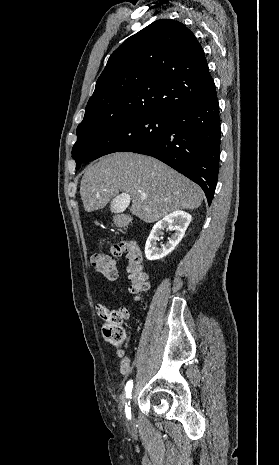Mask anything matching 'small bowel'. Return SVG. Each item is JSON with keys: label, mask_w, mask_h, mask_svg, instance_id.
Instances as JSON below:
<instances>
[{"label": "small bowel", "mask_w": 279, "mask_h": 465, "mask_svg": "<svg viewBox=\"0 0 279 465\" xmlns=\"http://www.w3.org/2000/svg\"><path fill=\"white\" fill-rule=\"evenodd\" d=\"M116 354L122 359L120 364L121 373L124 375L129 374L132 370L133 364L131 359L125 355V349H117Z\"/></svg>", "instance_id": "obj_1"}]
</instances>
